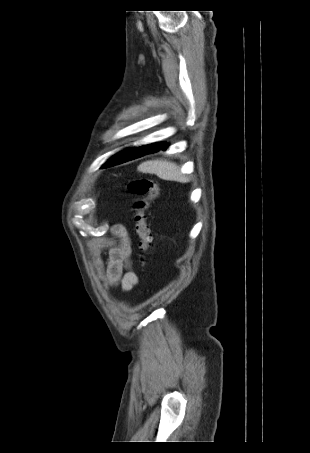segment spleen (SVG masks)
Wrapping results in <instances>:
<instances>
[{"label": "spleen", "instance_id": "obj_1", "mask_svg": "<svg viewBox=\"0 0 310 453\" xmlns=\"http://www.w3.org/2000/svg\"><path fill=\"white\" fill-rule=\"evenodd\" d=\"M138 170L143 173L156 174L159 178L167 181L188 182L189 178L182 175L179 167L167 160H151L143 162Z\"/></svg>", "mask_w": 310, "mask_h": 453}]
</instances>
